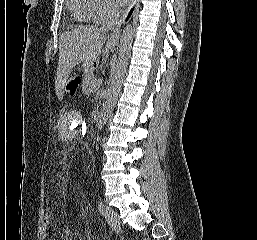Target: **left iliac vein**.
I'll use <instances>...</instances> for the list:
<instances>
[{
    "instance_id": "left-iliac-vein-1",
    "label": "left iliac vein",
    "mask_w": 257,
    "mask_h": 240,
    "mask_svg": "<svg viewBox=\"0 0 257 240\" xmlns=\"http://www.w3.org/2000/svg\"><path fill=\"white\" fill-rule=\"evenodd\" d=\"M105 219L110 226L113 228H118L120 225V219L118 213L111 207L106 206L105 210Z\"/></svg>"
}]
</instances>
